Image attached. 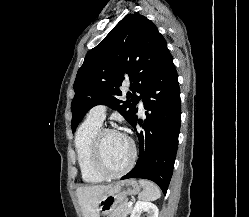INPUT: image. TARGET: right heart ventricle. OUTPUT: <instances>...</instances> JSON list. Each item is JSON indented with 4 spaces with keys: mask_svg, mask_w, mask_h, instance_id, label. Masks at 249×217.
Instances as JSON below:
<instances>
[{
    "mask_svg": "<svg viewBox=\"0 0 249 217\" xmlns=\"http://www.w3.org/2000/svg\"><path fill=\"white\" fill-rule=\"evenodd\" d=\"M102 122L88 116L79 126L74 140L78 166L83 181L91 184L105 180L96 172L92 164V143L95 134L101 128Z\"/></svg>",
    "mask_w": 249,
    "mask_h": 217,
    "instance_id": "e07e8e85",
    "label": "right heart ventricle"
}]
</instances>
